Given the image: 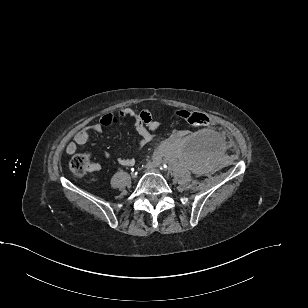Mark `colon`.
<instances>
[{"label":"colon","mask_w":308,"mask_h":308,"mask_svg":"<svg viewBox=\"0 0 308 308\" xmlns=\"http://www.w3.org/2000/svg\"><path fill=\"white\" fill-rule=\"evenodd\" d=\"M176 115L185 120L190 126L201 128L209 125V118L202 112L180 110ZM70 168L78 176L84 175L90 169L91 162L88 153H76L69 162Z\"/></svg>","instance_id":"colon-1"}]
</instances>
